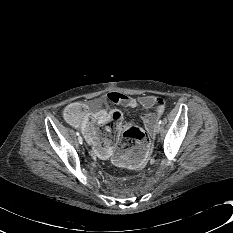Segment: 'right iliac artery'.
Listing matches in <instances>:
<instances>
[{
    "label": "right iliac artery",
    "instance_id": "1",
    "mask_svg": "<svg viewBox=\"0 0 233 233\" xmlns=\"http://www.w3.org/2000/svg\"><path fill=\"white\" fill-rule=\"evenodd\" d=\"M76 134H77L78 137L80 136L79 132H77Z\"/></svg>",
    "mask_w": 233,
    "mask_h": 233
}]
</instances>
